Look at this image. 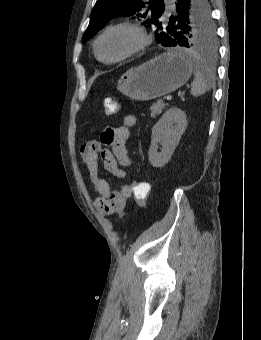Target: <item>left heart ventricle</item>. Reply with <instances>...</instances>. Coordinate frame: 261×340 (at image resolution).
<instances>
[{
	"instance_id": "left-heart-ventricle-1",
	"label": "left heart ventricle",
	"mask_w": 261,
	"mask_h": 340,
	"mask_svg": "<svg viewBox=\"0 0 261 340\" xmlns=\"http://www.w3.org/2000/svg\"><path fill=\"white\" fill-rule=\"evenodd\" d=\"M138 43V36L135 31L120 27L106 33L99 43V54L104 59L119 57Z\"/></svg>"
}]
</instances>
